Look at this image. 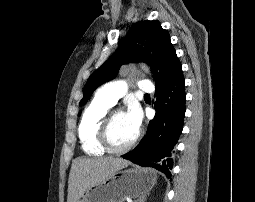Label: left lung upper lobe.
I'll return each instance as SVG.
<instances>
[{
	"instance_id": "1",
	"label": "left lung upper lobe",
	"mask_w": 255,
	"mask_h": 202,
	"mask_svg": "<svg viewBox=\"0 0 255 202\" xmlns=\"http://www.w3.org/2000/svg\"><path fill=\"white\" fill-rule=\"evenodd\" d=\"M138 61L151 66L156 89L166 87L182 73L169 34L157 21H139L131 26L114 54L89 77L80 106L87 102L98 86L115 78L123 64Z\"/></svg>"
}]
</instances>
